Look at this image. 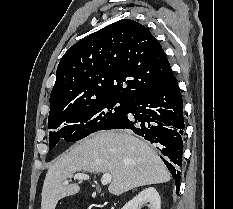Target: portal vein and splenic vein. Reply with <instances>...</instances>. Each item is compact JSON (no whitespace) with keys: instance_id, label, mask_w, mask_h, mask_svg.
<instances>
[{"instance_id":"portal-vein-and-splenic-vein-1","label":"portal vein and splenic vein","mask_w":233,"mask_h":209,"mask_svg":"<svg viewBox=\"0 0 233 209\" xmlns=\"http://www.w3.org/2000/svg\"><path fill=\"white\" fill-rule=\"evenodd\" d=\"M74 178L79 179V180H83V179L86 180V179H89V176L85 173H78L75 175ZM111 179H112L111 174L104 173L101 178V183L103 185H107L111 182ZM64 184H68V181H65Z\"/></svg>"}]
</instances>
